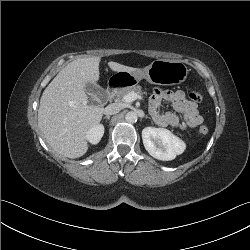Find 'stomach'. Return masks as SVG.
Segmentation results:
<instances>
[{"instance_id": "stomach-1", "label": "stomach", "mask_w": 250, "mask_h": 250, "mask_svg": "<svg viewBox=\"0 0 250 250\" xmlns=\"http://www.w3.org/2000/svg\"><path fill=\"white\" fill-rule=\"evenodd\" d=\"M121 86H134L142 79L157 85H176L183 83L188 75L187 66L180 61L157 59L144 69L134 72H116Z\"/></svg>"}]
</instances>
